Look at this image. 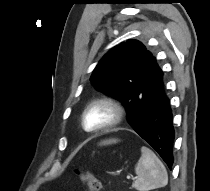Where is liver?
I'll list each match as a JSON object with an SVG mask.
<instances>
[{
    "mask_svg": "<svg viewBox=\"0 0 210 191\" xmlns=\"http://www.w3.org/2000/svg\"><path fill=\"white\" fill-rule=\"evenodd\" d=\"M119 140L118 139H108V140H104L100 143V145H109V144H115L117 143Z\"/></svg>",
    "mask_w": 210,
    "mask_h": 191,
    "instance_id": "obj_1",
    "label": "liver"
}]
</instances>
